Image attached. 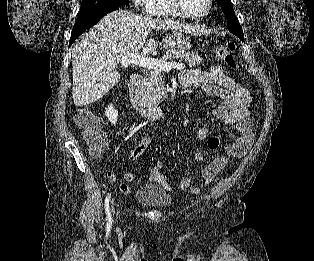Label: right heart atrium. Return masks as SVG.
<instances>
[{
    "label": "right heart atrium",
    "mask_w": 314,
    "mask_h": 261,
    "mask_svg": "<svg viewBox=\"0 0 314 261\" xmlns=\"http://www.w3.org/2000/svg\"><path fill=\"white\" fill-rule=\"evenodd\" d=\"M135 7L149 11L154 0H131Z\"/></svg>",
    "instance_id": "1"
}]
</instances>
